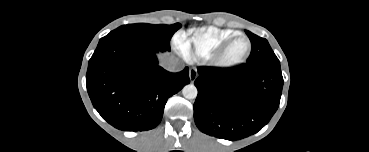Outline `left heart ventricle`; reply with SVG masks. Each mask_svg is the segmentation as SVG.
Returning <instances> with one entry per match:
<instances>
[{"instance_id": "left-heart-ventricle-1", "label": "left heart ventricle", "mask_w": 369, "mask_h": 152, "mask_svg": "<svg viewBox=\"0 0 369 152\" xmlns=\"http://www.w3.org/2000/svg\"><path fill=\"white\" fill-rule=\"evenodd\" d=\"M247 47L248 44L246 40L244 39L236 40L228 49L226 58L228 60H236L241 58L245 54Z\"/></svg>"}]
</instances>
